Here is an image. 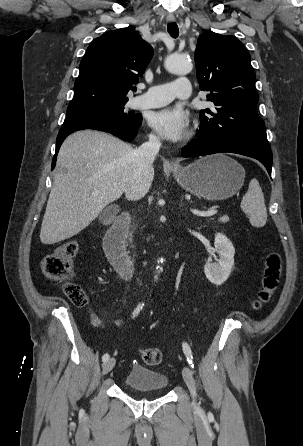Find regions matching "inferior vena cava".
<instances>
[{"instance_id":"1","label":"inferior vena cava","mask_w":303,"mask_h":446,"mask_svg":"<svg viewBox=\"0 0 303 446\" xmlns=\"http://www.w3.org/2000/svg\"><path fill=\"white\" fill-rule=\"evenodd\" d=\"M160 147V139L154 135H150L148 142L143 143L138 149L134 150V177L138 181L152 166Z\"/></svg>"}]
</instances>
